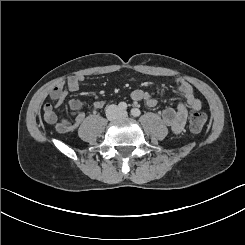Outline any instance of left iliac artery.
<instances>
[{
	"label": "left iliac artery",
	"mask_w": 245,
	"mask_h": 245,
	"mask_svg": "<svg viewBox=\"0 0 245 245\" xmlns=\"http://www.w3.org/2000/svg\"><path fill=\"white\" fill-rule=\"evenodd\" d=\"M140 114H141V111L138 108L131 109V115L132 116L138 117V116H140Z\"/></svg>",
	"instance_id": "1"
}]
</instances>
